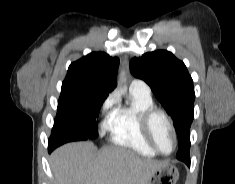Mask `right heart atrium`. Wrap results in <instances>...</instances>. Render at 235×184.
I'll use <instances>...</instances> for the list:
<instances>
[{"instance_id":"obj_1","label":"right heart atrium","mask_w":235,"mask_h":184,"mask_svg":"<svg viewBox=\"0 0 235 184\" xmlns=\"http://www.w3.org/2000/svg\"><path fill=\"white\" fill-rule=\"evenodd\" d=\"M119 96L116 92H112L107 96V98L102 102L100 106V116L101 119L98 124V135L103 137L107 132L110 131L113 114L118 108Z\"/></svg>"}]
</instances>
